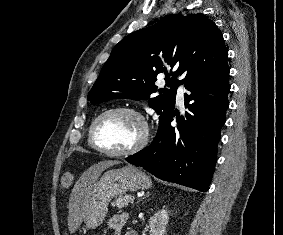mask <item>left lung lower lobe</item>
Returning <instances> with one entry per match:
<instances>
[{"label":"left lung lower lobe","instance_id":"obj_1","mask_svg":"<svg viewBox=\"0 0 283 235\" xmlns=\"http://www.w3.org/2000/svg\"><path fill=\"white\" fill-rule=\"evenodd\" d=\"M229 68L227 61L193 78L185 84V107L180 118L173 110L163 123L152 144L126 158L154 176L207 191L215 169L220 130L229 106L227 95ZM176 117L178 127L171 126Z\"/></svg>","mask_w":283,"mask_h":235}]
</instances>
